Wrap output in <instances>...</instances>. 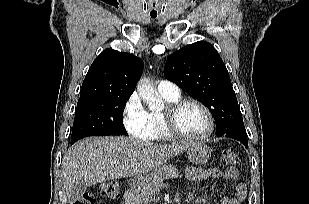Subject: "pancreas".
I'll return each instance as SVG.
<instances>
[{
	"label": "pancreas",
	"mask_w": 309,
	"mask_h": 204,
	"mask_svg": "<svg viewBox=\"0 0 309 204\" xmlns=\"http://www.w3.org/2000/svg\"><path fill=\"white\" fill-rule=\"evenodd\" d=\"M181 178L178 168L173 165H163L156 168L146 177H144L138 188L133 191L136 201L141 203H148L153 201L156 190L160 183L167 178Z\"/></svg>",
	"instance_id": "pancreas-1"
}]
</instances>
